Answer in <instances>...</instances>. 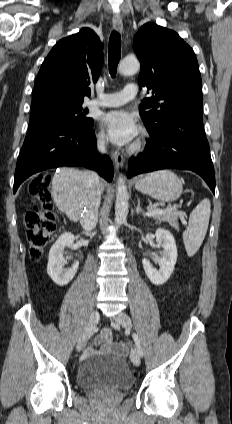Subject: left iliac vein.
Listing matches in <instances>:
<instances>
[{
  "instance_id": "1",
  "label": "left iliac vein",
  "mask_w": 232,
  "mask_h": 424,
  "mask_svg": "<svg viewBox=\"0 0 232 424\" xmlns=\"http://www.w3.org/2000/svg\"><path fill=\"white\" fill-rule=\"evenodd\" d=\"M112 321H113V323H117V324L121 325L122 327H124L128 331L131 330V327H132L131 319L124 312H120L117 316H115L113 318ZM130 357H131L132 363L135 366H139L140 365L141 359H140V356H139V354H138V352L136 350H132Z\"/></svg>"
}]
</instances>
